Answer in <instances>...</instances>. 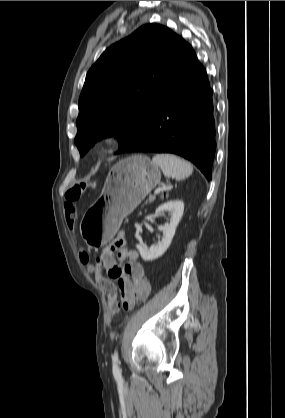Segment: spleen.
I'll return each instance as SVG.
<instances>
[{
	"mask_svg": "<svg viewBox=\"0 0 285 418\" xmlns=\"http://www.w3.org/2000/svg\"><path fill=\"white\" fill-rule=\"evenodd\" d=\"M152 163L160 167L166 177L176 180L185 179L193 172L189 162L172 154H156L152 158Z\"/></svg>",
	"mask_w": 285,
	"mask_h": 418,
	"instance_id": "spleen-1",
	"label": "spleen"
}]
</instances>
